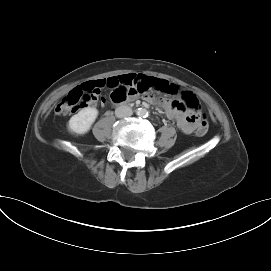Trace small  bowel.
<instances>
[{
  "label": "small bowel",
  "mask_w": 271,
  "mask_h": 271,
  "mask_svg": "<svg viewBox=\"0 0 271 271\" xmlns=\"http://www.w3.org/2000/svg\"><path fill=\"white\" fill-rule=\"evenodd\" d=\"M92 86L96 89L97 94L88 105H95L98 102V94L101 89H112L110 94L111 102H128L135 97H145L148 103L156 104L162 107L167 116L177 122L180 130L185 134H190L195 129L194 111L180 108L177 101L164 97H155L151 91H159L166 95H172L176 92L175 84L167 80L146 76L143 74H122L95 81H88L81 84V87ZM190 93V92H189Z\"/></svg>",
  "instance_id": "1"
}]
</instances>
